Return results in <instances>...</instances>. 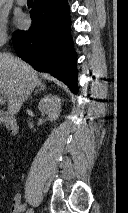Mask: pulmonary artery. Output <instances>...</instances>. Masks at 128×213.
<instances>
[{"label": "pulmonary artery", "instance_id": "obj_1", "mask_svg": "<svg viewBox=\"0 0 128 213\" xmlns=\"http://www.w3.org/2000/svg\"><path fill=\"white\" fill-rule=\"evenodd\" d=\"M16 3L20 6H24L27 3V0H16Z\"/></svg>", "mask_w": 128, "mask_h": 213}]
</instances>
